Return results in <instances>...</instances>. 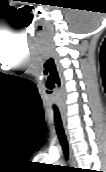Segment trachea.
I'll return each mask as SVG.
<instances>
[{"mask_svg":"<svg viewBox=\"0 0 106 172\" xmlns=\"http://www.w3.org/2000/svg\"><path fill=\"white\" fill-rule=\"evenodd\" d=\"M54 118H55V127H56L58 138L62 145L64 155L66 159H68V144H67L66 136H65L64 129L62 126L60 113L57 108H54Z\"/></svg>","mask_w":106,"mask_h":172,"instance_id":"1","label":"trachea"}]
</instances>
